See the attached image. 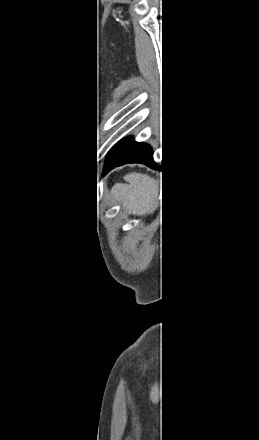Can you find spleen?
I'll return each instance as SVG.
<instances>
[{"mask_svg":"<svg viewBox=\"0 0 259 440\" xmlns=\"http://www.w3.org/2000/svg\"><path fill=\"white\" fill-rule=\"evenodd\" d=\"M124 179L127 183H115L107 198L122 202L125 209L136 215L153 211L156 206L159 181L142 173H129Z\"/></svg>","mask_w":259,"mask_h":440,"instance_id":"1","label":"spleen"}]
</instances>
